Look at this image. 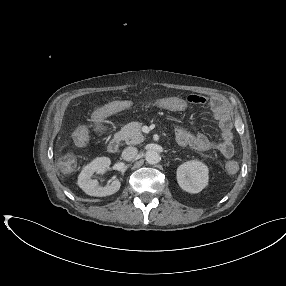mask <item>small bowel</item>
Instances as JSON below:
<instances>
[{
	"label": "small bowel",
	"instance_id": "c3829d8e",
	"mask_svg": "<svg viewBox=\"0 0 286 286\" xmlns=\"http://www.w3.org/2000/svg\"><path fill=\"white\" fill-rule=\"evenodd\" d=\"M189 104L209 105L214 117L218 120L221 129V139L219 141L210 140L203 133H193L184 127L176 130V140L180 145H190L200 150H217L225 158H231L234 155L232 122L226 104L220 98H213L208 101L201 96H190L187 100L177 97H168L149 103L173 112H183L189 107Z\"/></svg>",
	"mask_w": 286,
	"mask_h": 286
}]
</instances>
